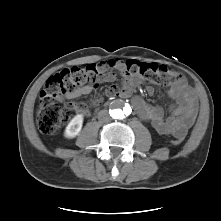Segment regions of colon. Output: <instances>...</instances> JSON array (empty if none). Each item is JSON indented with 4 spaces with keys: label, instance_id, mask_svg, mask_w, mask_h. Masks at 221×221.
Returning <instances> with one entry per match:
<instances>
[{
    "label": "colon",
    "instance_id": "5ec220e1",
    "mask_svg": "<svg viewBox=\"0 0 221 221\" xmlns=\"http://www.w3.org/2000/svg\"><path fill=\"white\" fill-rule=\"evenodd\" d=\"M126 68L131 75L139 76L144 81L160 87H167L182 78L179 72L154 63L129 60L126 62ZM98 76V68L94 64L63 69L51 75L45 82L39 97L36 113L39 131L43 134L57 132L69 117L67 108L60 103L62 97L77 87L96 83ZM108 93L117 94V87H110ZM182 139L180 136H174L172 143L180 144Z\"/></svg>",
    "mask_w": 221,
    "mask_h": 221
}]
</instances>
